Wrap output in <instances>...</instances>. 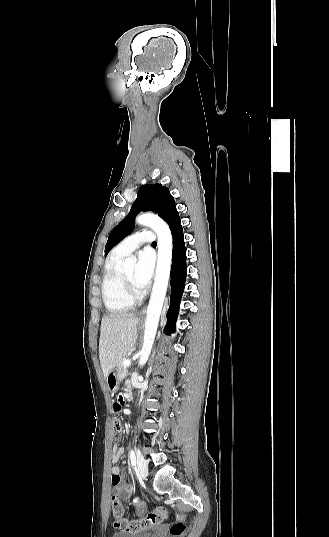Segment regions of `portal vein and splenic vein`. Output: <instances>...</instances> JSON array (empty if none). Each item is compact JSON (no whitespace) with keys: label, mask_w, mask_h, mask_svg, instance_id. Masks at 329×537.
<instances>
[{"label":"portal vein and splenic vein","mask_w":329,"mask_h":537,"mask_svg":"<svg viewBox=\"0 0 329 537\" xmlns=\"http://www.w3.org/2000/svg\"><path fill=\"white\" fill-rule=\"evenodd\" d=\"M131 365V360L124 361V368H127Z\"/></svg>","instance_id":"1"}]
</instances>
